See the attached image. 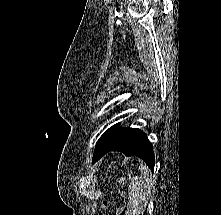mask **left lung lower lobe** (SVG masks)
Segmentation results:
<instances>
[{"mask_svg":"<svg viewBox=\"0 0 221 215\" xmlns=\"http://www.w3.org/2000/svg\"><path fill=\"white\" fill-rule=\"evenodd\" d=\"M109 151H120L126 156H138L151 169L154 168L155 162L152 144L143 131L139 129L120 127V124L110 127L99 138L93 160L100 159Z\"/></svg>","mask_w":221,"mask_h":215,"instance_id":"1","label":"left lung lower lobe"}]
</instances>
